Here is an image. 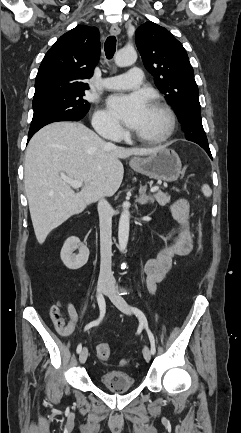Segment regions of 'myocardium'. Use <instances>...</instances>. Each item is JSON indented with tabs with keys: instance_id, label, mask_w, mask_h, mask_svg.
I'll return each mask as SVG.
<instances>
[{
	"instance_id": "f54148a6",
	"label": "myocardium",
	"mask_w": 241,
	"mask_h": 433,
	"mask_svg": "<svg viewBox=\"0 0 241 433\" xmlns=\"http://www.w3.org/2000/svg\"><path fill=\"white\" fill-rule=\"evenodd\" d=\"M151 107L161 110L168 118V127L165 130L164 133L158 135V136H147L138 132H135V136L146 143L150 144H160L165 141H167L175 132L176 125H177V119L174 111L172 108L166 104L165 102L156 100L153 101L151 104Z\"/></svg>"
}]
</instances>
